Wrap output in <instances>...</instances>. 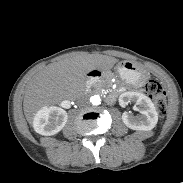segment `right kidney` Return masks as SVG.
I'll return each mask as SVG.
<instances>
[{
    "label": "right kidney",
    "mask_w": 183,
    "mask_h": 183,
    "mask_svg": "<svg viewBox=\"0 0 183 183\" xmlns=\"http://www.w3.org/2000/svg\"><path fill=\"white\" fill-rule=\"evenodd\" d=\"M68 119L67 112L56 106L41 108L33 119L34 130L44 136L57 134L63 129Z\"/></svg>",
    "instance_id": "obj_1"
}]
</instances>
